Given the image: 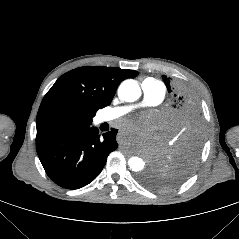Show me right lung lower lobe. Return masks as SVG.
<instances>
[{
	"instance_id": "98d812e1",
	"label": "right lung lower lobe",
	"mask_w": 239,
	"mask_h": 239,
	"mask_svg": "<svg viewBox=\"0 0 239 239\" xmlns=\"http://www.w3.org/2000/svg\"><path fill=\"white\" fill-rule=\"evenodd\" d=\"M117 129L99 134L90 125L36 141L38 157L51 180L66 189L91 183L114 151Z\"/></svg>"
}]
</instances>
